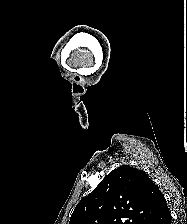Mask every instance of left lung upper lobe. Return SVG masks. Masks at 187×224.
<instances>
[{"label":"left lung upper lobe","instance_id":"1","mask_svg":"<svg viewBox=\"0 0 187 224\" xmlns=\"http://www.w3.org/2000/svg\"><path fill=\"white\" fill-rule=\"evenodd\" d=\"M162 197L145 171L123 165L80 200L69 224H149Z\"/></svg>","mask_w":187,"mask_h":224}]
</instances>
